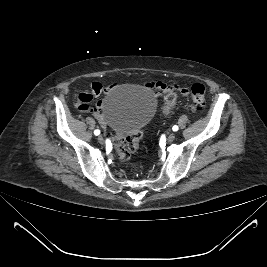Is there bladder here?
Returning a JSON list of instances; mask_svg holds the SVG:
<instances>
[{
    "instance_id": "obj_1",
    "label": "bladder",
    "mask_w": 267,
    "mask_h": 267,
    "mask_svg": "<svg viewBox=\"0 0 267 267\" xmlns=\"http://www.w3.org/2000/svg\"><path fill=\"white\" fill-rule=\"evenodd\" d=\"M156 111V102L145 89L121 85L112 89L103 103V118L118 135L143 129Z\"/></svg>"
}]
</instances>
